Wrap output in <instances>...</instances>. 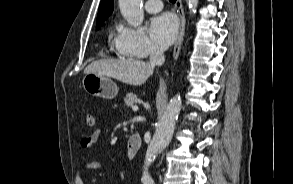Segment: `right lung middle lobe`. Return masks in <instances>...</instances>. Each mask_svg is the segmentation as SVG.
<instances>
[{"instance_id": "right-lung-middle-lobe-1", "label": "right lung middle lobe", "mask_w": 293, "mask_h": 184, "mask_svg": "<svg viewBox=\"0 0 293 184\" xmlns=\"http://www.w3.org/2000/svg\"><path fill=\"white\" fill-rule=\"evenodd\" d=\"M100 26H101V25H98V26H97V30L100 28Z\"/></svg>"}]
</instances>
